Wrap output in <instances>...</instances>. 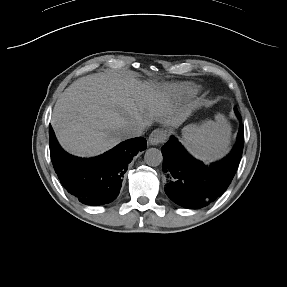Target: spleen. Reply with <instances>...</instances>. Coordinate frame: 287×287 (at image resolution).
<instances>
[{"label":"spleen","instance_id":"spleen-1","mask_svg":"<svg viewBox=\"0 0 287 287\" xmlns=\"http://www.w3.org/2000/svg\"><path fill=\"white\" fill-rule=\"evenodd\" d=\"M232 128L226 117L218 113L215 121L189 125L183 131V144L197 159L215 161L225 156L231 143Z\"/></svg>","mask_w":287,"mask_h":287}]
</instances>
